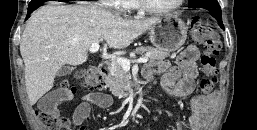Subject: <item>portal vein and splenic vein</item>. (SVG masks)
Listing matches in <instances>:
<instances>
[{
    "instance_id": "18ae733b",
    "label": "portal vein and splenic vein",
    "mask_w": 257,
    "mask_h": 130,
    "mask_svg": "<svg viewBox=\"0 0 257 130\" xmlns=\"http://www.w3.org/2000/svg\"><path fill=\"white\" fill-rule=\"evenodd\" d=\"M99 50V43H93L90 48H89V51L91 53H95ZM116 62L125 70V71H128L130 69V65L131 63H146L148 62V56L146 57H142V58H139L137 60H134V61H130V60H127L125 58H116Z\"/></svg>"
}]
</instances>
